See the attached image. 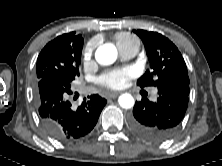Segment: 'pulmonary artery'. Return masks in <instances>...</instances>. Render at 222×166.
<instances>
[{
    "instance_id": "1",
    "label": "pulmonary artery",
    "mask_w": 222,
    "mask_h": 166,
    "mask_svg": "<svg viewBox=\"0 0 222 166\" xmlns=\"http://www.w3.org/2000/svg\"><path fill=\"white\" fill-rule=\"evenodd\" d=\"M137 51L138 47H127L120 49L121 55L126 59L134 57L137 54ZM155 97H156V91L153 92L152 99H155Z\"/></svg>"
}]
</instances>
